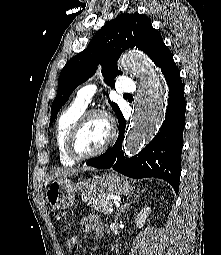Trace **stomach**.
Here are the masks:
<instances>
[{
    "label": "stomach",
    "mask_w": 221,
    "mask_h": 255,
    "mask_svg": "<svg viewBox=\"0 0 221 255\" xmlns=\"http://www.w3.org/2000/svg\"><path fill=\"white\" fill-rule=\"evenodd\" d=\"M78 191L86 201L97 193L128 195L134 191V187L127 180L113 173L79 182H73L67 177L56 178L50 182L46 190V200L53 210L65 209L74 204Z\"/></svg>",
    "instance_id": "0dacf381"
}]
</instances>
